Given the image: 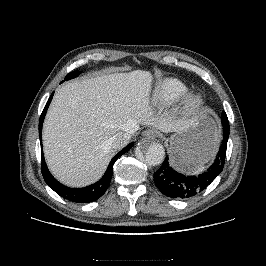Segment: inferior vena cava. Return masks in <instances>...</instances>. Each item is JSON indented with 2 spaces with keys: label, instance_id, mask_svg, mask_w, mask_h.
<instances>
[{
  "label": "inferior vena cava",
  "instance_id": "1",
  "mask_svg": "<svg viewBox=\"0 0 266 266\" xmlns=\"http://www.w3.org/2000/svg\"><path fill=\"white\" fill-rule=\"evenodd\" d=\"M138 130V126L137 125H133L132 128L130 129V131L128 132H119L117 133L116 135H114L112 138H111V144H112V147L114 149H121L123 148L124 146H126L132 135Z\"/></svg>",
  "mask_w": 266,
  "mask_h": 266
}]
</instances>
